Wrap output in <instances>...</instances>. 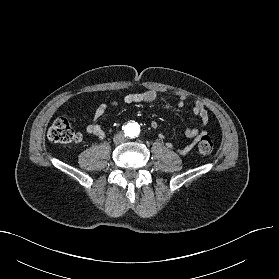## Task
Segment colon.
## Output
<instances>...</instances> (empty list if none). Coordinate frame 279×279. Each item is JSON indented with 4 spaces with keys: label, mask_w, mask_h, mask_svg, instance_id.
<instances>
[{
    "label": "colon",
    "mask_w": 279,
    "mask_h": 279,
    "mask_svg": "<svg viewBox=\"0 0 279 279\" xmlns=\"http://www.w3.org/2000/svg\"><path fill=\"white\" fill-rule=\"evenodd\" d=\"M48 138L54 143L71 144L79 142L80 135L73 129L66 116H60L50 126ZM198 151L202 155H208L213 151V141L208 135H203L199 139Z\"/></svg>",
    "instance_id": "1"
}]
</instances>
